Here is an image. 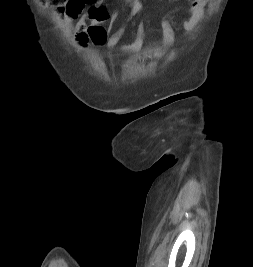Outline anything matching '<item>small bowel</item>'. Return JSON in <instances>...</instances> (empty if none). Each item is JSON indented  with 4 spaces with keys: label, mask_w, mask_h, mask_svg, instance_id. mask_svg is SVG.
Segmentation results:
<instances>
[{
    "label": "small bowel",
    "mask_w": 253,
    "mask_h": 267,
    "mask_svg": "<svg viewBox=\"0 0 253 267\" xmlns=\"http://www.w3.org/2000/svg\"><path fill=\"white\" fill-rule=\"evenodd\" d=\"M129 8V15L126 22L113 33H108L106 46L115 51L136 52L140 50L145 39V23L140 22L135 39L129 43H122V39L130 21L139 14L142 9L141 0H123ZM191 2L189 16L183 21V27L186 30L193 29L200 21L204 8L208 0H189ZM57 18L66 25L75 22V39L80 46L87 45L89 41L88 29L90 26L111 23L114 14L110 13L104 0H71L64 7H58L56 10ZM162 45L170 46L174 41V31L170 22L163 18L161 21Z\"/></svg>",
    "instance_id": "small-bowel-1"
}]
</instances>
